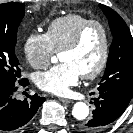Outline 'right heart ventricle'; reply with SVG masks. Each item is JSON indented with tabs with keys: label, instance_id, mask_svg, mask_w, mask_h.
Wrapping results in <instances>:
<instances>
[{
	"label": "right heart ventricle",
	"instance_id": "right-heart-ventricle-1",
	"mask_svg": "<svg viewBox=\"0 0 133 133\" xmlns=\"http://www.w3.org/2000/svg\"><path fill=\"white\" fill-rule=\"evenodd\" d=\"M90 19L77 13H70L54 19L47 27L46 35L55 51L61 49L73 38L78 29Z\"/></svg>",
	"mask_w": 133,
	"mask_h": 133
}]
</instances>
